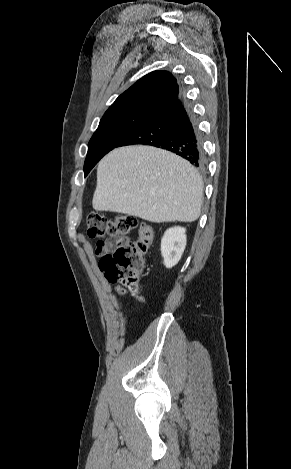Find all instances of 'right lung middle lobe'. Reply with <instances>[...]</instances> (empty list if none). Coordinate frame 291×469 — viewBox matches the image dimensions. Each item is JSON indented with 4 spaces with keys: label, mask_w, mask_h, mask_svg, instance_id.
I'll return each mask as SVG.
<instances>
[{
    "label": "right lung middle lobe",
    "mask_w": 291,
    "mask_h": 469,
    "mask_svg": "<svg viewBox=\"0 0 291 469\" xmlns=\"http://www.w3.org/2000/svg\"><path fill=\"white\" fill-rule=\"evenodd\" d=\"M151 115L153 114L143 111H124L104 115L88 144L84 164L85 176L106 153L115 148Z\"/></svg>",
    "instance_id": "dd1d6c3e"
}]
</instances>
